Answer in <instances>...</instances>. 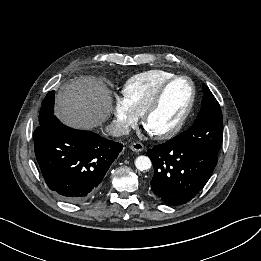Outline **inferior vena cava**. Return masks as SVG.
<instances>
[{"label":"inferior vena cava","mask_w":261,"mask_h":261,"mask_svg":"<svg viewBox=\"0 0 261 261\" xmlns=\"http://www.w3.org/2000/svg\"><path fill=\"white\" fill-rule=\"evenodd\" d=\"M106 130L109 134L115 137L127 135L130 132V128L120 121H113L107 126Z\"/></svg>","instance_id":"1"}]
</instances>
